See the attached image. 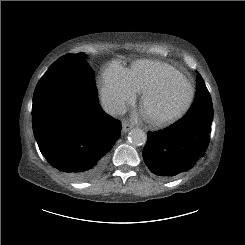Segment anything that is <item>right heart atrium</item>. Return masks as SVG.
I'll return each instance as SVG.
<instances>
[{
    "instance_id": "1",
    "label": "right heart atrium",
    "mask_w": 245,
    "mask_h": 245,
    "mask_svg": "<svg viewBox=\"0 0 245 245\" xmlns=\"http://www.w3.org/2000/svg\"><path fill=\"white\" fill-rule=\"evenodd\" d=\"M99 89L103 101L115 113H122L136 99V91L130 83L127 69L116 62L104 70Z\"/></svg>"
}]
</instances>
